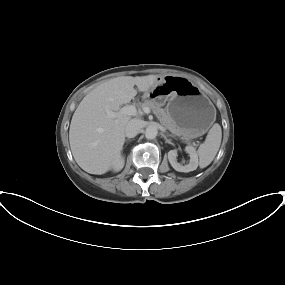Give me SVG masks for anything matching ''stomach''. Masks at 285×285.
Wrapping results in <instances>:
<instances>
[{
    "instance_id": "1",
    "label": "stomach",
    "mask_w": 285,
    "mask_h": 285,
    "mask_svg": "<svg viewBox=\"0 0 285 285\" xmlns=\"http://www.w3.org/2000/svg\"><path fill=\"white\" fill-rule=\"evenodd\" d=\"M143 97L156 104L167 101V114L189 138L205 134L216 119V110L208 96L182 76L161 77Z\"/></svg>"
}]
</instances>
